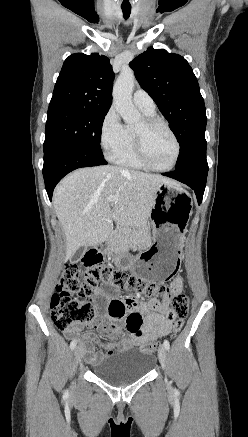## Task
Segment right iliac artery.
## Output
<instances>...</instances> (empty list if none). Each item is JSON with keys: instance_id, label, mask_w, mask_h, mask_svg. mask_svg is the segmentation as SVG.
Returning a JSON list of instances; mask_svg holds the SVG:
<instances>
[{"instance_id": "obj_1", "label": "right iliac artery", "mask_w": 248, "mask_h": 437, "mask_svg": "<svg viewBox=\"0 0 248 437\" xmlns=\"http://www.w3.org/2000/svg\"><path fill=\"white\" fill-rule=\"evenodd\" d=\"M76 345H77V340L74 339V340L71 342V344H70V348H71V350H73V349L76 347Z\"/></svg>"}]
</instances>
